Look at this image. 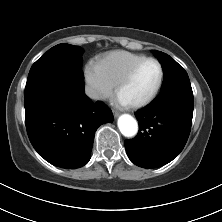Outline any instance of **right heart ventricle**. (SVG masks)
<instances>
[{"mask_svg":"<svg viewBox=\"0 0 222 222\" xmlns=\"http://www.w3.org/2000/svg\"><path fill=\"white\" fill-rule=\"evenodd\" d=\"M145 58L128 51H113L106 54L98 66L102 75L115 86L134 64Z\"/></svg>","mask_w":222,"mask_h":222,"instance_id":"e07e8e85","label":"right heart ventricle"}]
</instances>
